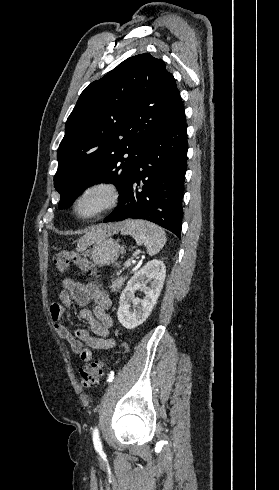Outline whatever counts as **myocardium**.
Segmentation results:
<instances>
[{
  "mask_svg": "<svg viewBox=\"0 0 279 490\" xmlns=\"http://www.w3.org/2000/svg\"><path fill=\"white\" fill-rule=\"evenodd\" d=\"M91 192H98L102 198L88 210L82 209V203ZM122 193L118 184L108 178H94L82 183L72 203L74 215L80 220H90L114 208L121 200Z\"/></svg>",
  "mask_w": 279,
  "mask_h": 490,
  "instance_id": "myocardium-1",
  "label": "myocardium"
}]
</instances>
